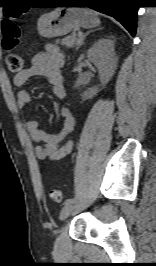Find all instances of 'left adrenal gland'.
Wrapping results in <instances>:
<instances>
[{
  "label": "left adrenal gland",
  "mask_w": 156,
  "mask_h": 266,
  "mask_svg": "<svg viewBox=\"0 0 156 266\" xmlns=\"http://www.w3.org/2000/svg\"><path fill=\"white\" fill-rule=\"evenodd\" d=\"M93 31H95V30H93ZM93 31H88L87 33H85L83 36H81V37L79 38V40H78V42H77V48H76V49H79V47L83 44L85 37H86L88 34H90L91 32H93Z\"/></svg>",
  "instance_id": "a2214340"
}]
</instances>
